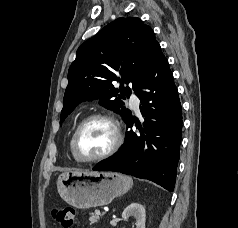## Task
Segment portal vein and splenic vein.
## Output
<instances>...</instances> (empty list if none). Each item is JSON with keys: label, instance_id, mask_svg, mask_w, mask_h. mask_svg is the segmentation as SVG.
<instances>
[{"label": "portal vein and splenic vein", "instance_id": "obj_1", "mask_svg": "<svg viewBox=\"0 0 238 228\" xmlns=\"http://www.w3.org/2000/svg\"><path fill=\"white\" fill-rule=\"evenodd\" d=\"M95 213H96L97 215H100V214H101V212H100L99 210H96Z\"/></svg>", "mask_w": 238, "mask_h": 228}]
</instances>
